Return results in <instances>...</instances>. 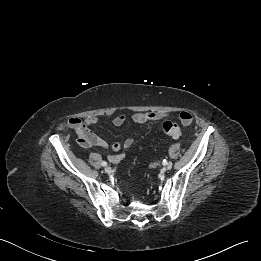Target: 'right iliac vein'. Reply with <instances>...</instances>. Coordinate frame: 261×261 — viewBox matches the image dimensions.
Returning a JSON list of instances; mask_svg holds the SVG:
<instances>
[{"instance_id": "right-iliac-vein-1", "label": "right iliac vein", "mask_w": 261, "mask_h": 261, "mask_svg": "<svg viewBox=\"0 0 261 261\" xmlns=\"http://www.w3.org/2000/svg\"><path fill=\"white\" fill-rule=\"evenodd\" d=\"M111 171H112L111 167H109V166L105 167V172L106 173H111Z\"/></svg>"}]
</instances>
